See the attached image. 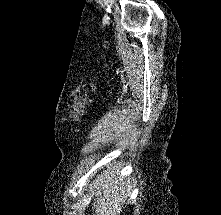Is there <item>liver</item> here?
I'll return each instance as SVG.
<instances>
[{
  "label": "liver",
  "instance_id": "liver-1",
  "mask_svg": "<svg viewBox=\"0 0 221 215\" xmlns=\"http://www.w3.org/2000/svg\"><path fill=\"white\" fill-rule=\"evenodd\" d=\"M119 169L115 164L107 166L93 181L90 191L94 197V215H120L127 199V180L118 177Z\"/></svg>",
  "mask_w": 221,
  "mask_h": 215
}]
</instances>
